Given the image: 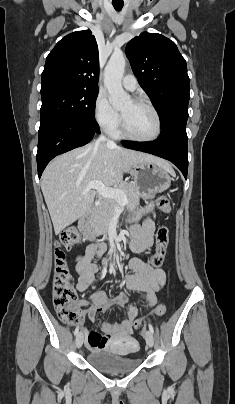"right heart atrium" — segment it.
<instances>
[{
  "label": "right heart atrium",
  "instance_id": "obj_1",
  "mask_svg": "<svg viewBox=\"0 0 235 404\" xmlns=\"http://www.w3.org/2000/svg\"><path fill=\"white\" fill-rule=\"evenodd\" d=\"M94 116L99 127L109 134H114L120 126V115L104 93H98L95 99Z\"/></svg>",
  "mask_w": 235,
  "mask_h": 404
}]
</instances>
